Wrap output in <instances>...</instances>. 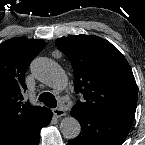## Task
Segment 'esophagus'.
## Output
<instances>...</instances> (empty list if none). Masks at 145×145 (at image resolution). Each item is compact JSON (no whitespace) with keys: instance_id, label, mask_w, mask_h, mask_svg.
<instances>
[{"instance_id":"obj_1","label":"esophagus","mask_w":145,"mask_h":145,"mask_svg":"<svg viewBox=\"0 0 145 145\" xmlns=\"http://www.w3.org/2000/svg\"><path fill=\"white\" fill-rule=\"evenodd\" d=\"M52 112L56 117H62L66 115V111L63 108H54Z\"/></svg>"}]
</instances>
